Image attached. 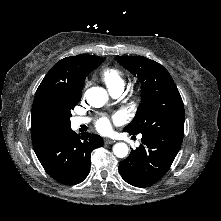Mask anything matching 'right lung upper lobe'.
Masks as SVG:
<instances>
[{"label": "right lung upper lobe", "mask_w": 221, "mask_h": 221, "mask_svg": "<svg viewBox=\"0 0 221 221\" xmlns=\"http://www.w3.org/2000/svg\"><path fill=\"white\" fill-rule=\"evenodd\" d=\"M102 59L105 58L85 54L66 57L49 70L36 91L32 106L33 145L67 130L61 126L58 116L71 98H81L86 76Z\"/></svg>", "instance_id": "obj_1"}]
</instances>
